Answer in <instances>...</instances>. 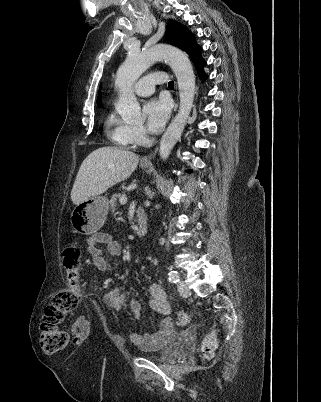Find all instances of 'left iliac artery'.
<instances>
[{
	"instance_id": "1",
	"label": "left iliac artery",
	"mask_w": 321,
	"mask_h": 402,
	"mask_svg": "<svg viewBox=\"0 0 321 402\" xmlns=\"http://www.w3.org/2000/svg\"><path fill=\"white\" fill-rule=\"evenodd\" d=\"M169 281L170 282H172V283H178L179 282V275H178V272L177 271H170L169 272Z\"/></svg>"
}]
</instances>
